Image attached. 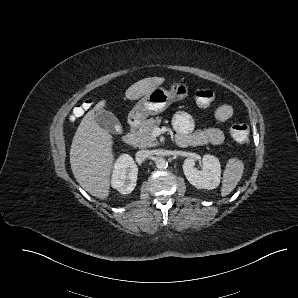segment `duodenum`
<instances>
[{
	"mask_svg": "<svg viewBox=\"0 0 298 298\" xmlns=\"http://www.w3.org/2000/svg\"><path fill=\"white\" fill-rule=\"evenodd\" d=\"M137 126L138 119L136 117H132L129 120V130L122 137V140L126 144L132 145L135 143V131ZM175 140L176 144L183 148L202 144V139L200 137L188 133H177Z\"/></svg>",
	"mask_w": 298,
	"mask_h": 298,
	"instance_id": "1",
	"label": "duodenum"
}]
</instances>
